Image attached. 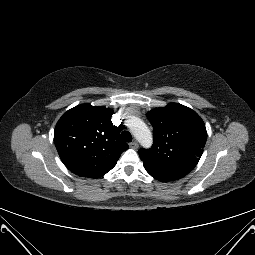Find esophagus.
Segmentation results:
<instances>
[{"label": "esophagus", "mask_w": 255, "mask_h": 255, "mask_svg": "<svg viewBox=\"0 0 255 255\" xmlns=\"http://www.w3.org/2000/svg\"><path fill=\"white\" fill-rule=\"evenodd\" d=\"M129 147L132 149H137L138 148V142L137 141H132L131 143H129Z\"/></svg>", "instance_id": "esophagus-1"}]
</instances>
